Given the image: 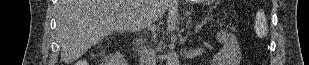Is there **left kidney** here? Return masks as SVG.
I'll return each mask as SVG.
<instances>
[{"instance_id": "5707ae66", "label": "left kidney", "mask_w": 309, "mask_h": 65, "mask_svg": "<svg viewBox=\"0 0 309 65\" xmlns=\"http://www.w3.org/2000/svg\"><path fill=\"white\" fill-rule=\"evenodd\" d=\"M216 40L223 44V48L213 57V65H240L241 49L237 37L225 30H221Z\"/></svg>"}]
</instances>
